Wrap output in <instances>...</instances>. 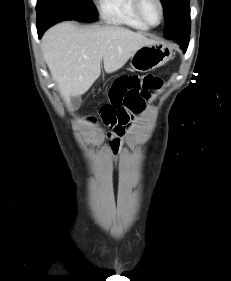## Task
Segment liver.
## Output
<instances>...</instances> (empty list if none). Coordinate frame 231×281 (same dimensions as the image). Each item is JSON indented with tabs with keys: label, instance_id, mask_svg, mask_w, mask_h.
I'll list each match as a JSON object with an SVG mask.
<instances>
[{
	"label": "liver",
	"instance_id": "liver-1",
	"mask_svg": "<svg viewBox=\"0 0 231 281\" xmlns=\"http://www.w3.org/2000/svg\"><path fill=\"white\" fill-rule=\"evenodd\" d=\"M156 43L124 27L81 28L68 21L54 25L42 38L43 57L66 104L90 89L102 61L105 72L113 73L141 47Z\"/></svg>",
	"mask_w": 231,
	"mask_h": 281
}]
</instances>
